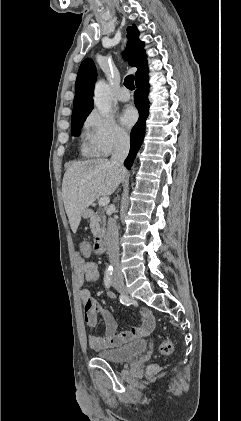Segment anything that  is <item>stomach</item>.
I'll return each instance as SVG.
<instances>
[{"instance_id":"stomach-1","label":"stomach","mask_w":241,"mask_h":421,"mask_svg":"<svg viewBox=\"0 0 241 421\" xmlns=\"http://www.w3.org/2000/svg\"><path fill=\"white\" fill-rule=\"evenodd\" d=\"M82 216L84 218H89L90 217V212L88 210H86L85 212H83Z\"/></svg>"}]
</instances>
